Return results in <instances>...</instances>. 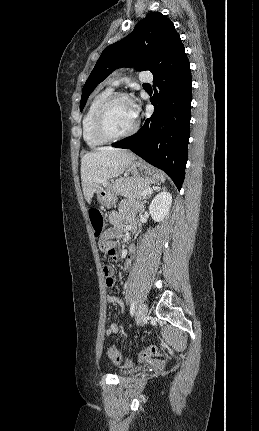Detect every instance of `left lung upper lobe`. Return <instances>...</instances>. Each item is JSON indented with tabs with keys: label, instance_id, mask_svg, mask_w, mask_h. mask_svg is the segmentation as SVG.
Instances as JSON below:
<instances>
[{
	"label": "left lung upper lobe",
	"instance_id": "1",
	"mask_svg": "<svg viewBox=\"0 0 259 431\" xmlns=\"http://www.w3.org/2000/svg\"><path fill=\"white\" fill-rule=\"evenodd\" d=\"M178 40L170 19L159 12L148 14L127 37L104 49L83 87L80 111L97 84L114 70L134 67L153 72Z\"/></svg>",
	"mask_w": 259,
	"mask_h": 431
}]
</instances>
